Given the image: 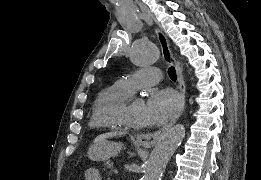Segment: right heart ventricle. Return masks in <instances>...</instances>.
<instances>
[{"label":"right heart ventricle","mask_w":261,"mask_h":180,"mask_svg":"<svg viewBox=\"0 0 261 180\" xmlns=\"http://www.w3.org/2000/svg\"><path fill=\"white\" fill-rule=\"evenodd\" d=\"M129 93L125 92L118 84L103 89L97 96L92 108L88 127L90 133L99 131H117L115 128V111L124 105ZM118 136H113L116 138ZM113 138H92V139H113Z\"/></svg>","instance_id":"1"}]
</instances>
